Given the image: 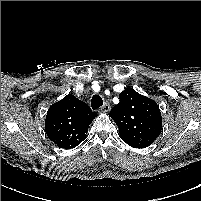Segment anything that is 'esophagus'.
Segmentation results:
<instances>
[{
  "label": "esophagus",
  "instance_id": "34e87169",
  "mask_svg": "<svg viewBox=\"0 0 201 201\" xmlns=\"http://www.w3.org/2000/svg\"><path fill=\"white\" fill-rule=\"evenodd\" d=\"M110 108V104L108 102H105L104 105L101 107L100 112L107 113L110 111Z\"/></svg>",
  "mask_w": 201,
  "mask_h": 201
}]
</instances>
